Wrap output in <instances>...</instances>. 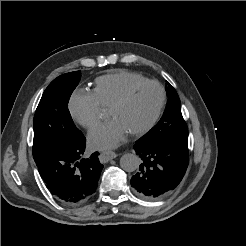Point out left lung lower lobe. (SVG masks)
Returning a JSON list of instances; mask_svg holds the SVG:
<instances>
[{
    "label": "left lung lower lobe",
    "instance_id": "1",
    "mask_svg": "<svg viewBox=\"0 0 246 246\" xmlns=\"http://www.w3.org/2000/svg\"><path fill=\"white\" fill-rule=\"evenodd\" d=\"M134 150L142 161L130 182L141 197L161 198L178 186L189 162L188 137L169 136L154 141L142 137Z\"/></svg>",
    "mask_w": 246,
    "mask_h": 246
}]
</instances>
